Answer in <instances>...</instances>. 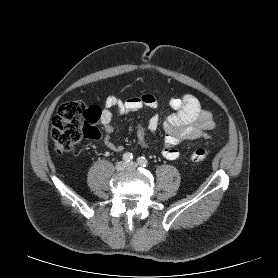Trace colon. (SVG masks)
Listing matches in <instances>:
<instances>
[{"label": "colon", "mask_w": 278, "mask_h": 278, "mask_svg": "<svg viewBox=\"0 0 278 278\" xmlns=\"http://www.w3.org/2000/svg\"><path fill=\"white\" fill-rule=\"evenodd\" d=\"M102 111L99 107L86 105L82 101H72L61 105L52 120L51 138L58 155L70 152L83 138L97 139L100 137L97 128ZM209 150L198 147L191 151L190 159L201 162L207 159Z\"/></svg>", "instance_id": "colon-1"}]
</instances>
